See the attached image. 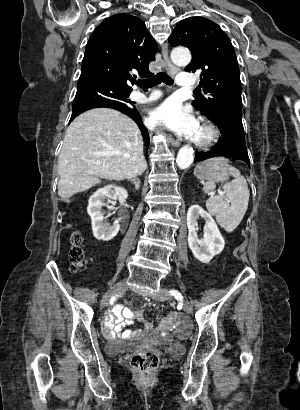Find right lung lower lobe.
<instances>
[{"mask_svg": "<svg viewBox=\"0 0 300 410\" xmlns=\"http://www.w3.org/2000/svg\"><path fill=\"white\" fill-rule=\"evenodd\" d=\"M96 107H108V108H113L116 109L126 115H128L130 118H132L137 125L139 126L142 136L145 139L146 142V146L149 145V135H148V131L145 128V126L142 123V119L141 116L139 114V112L136 110V108H131L129 106H124V105H120V104H114V103H110V102H95V103H90L87 105H83L77 108L72 109V116L70 121H72L76 116H78L79 114H81L82 112L92 109V108H96Z\"/></svg>", "mask_w": 300, "mask_h": 410, "instance_id": "1", "label": "right lung lower lobe"}]
</instances>
